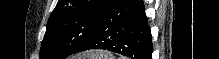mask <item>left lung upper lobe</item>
<instances>
[{"label":"left lung upper lobe","mask_w":219,"mask_h":59,"mask_svg":"<svg viewBox=\"0 0 219 59\" xmlns=\"http://www.w3.org/2000/svg\"><path fill=\"white\" fill-rule=\"evenodd\" d=\"M113 0H59L48 23L40 59H65L96 31Z\"/></svg>","instance_id":"1"}]
</instances>
